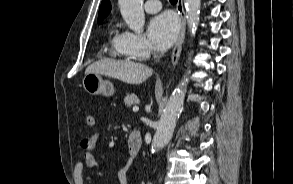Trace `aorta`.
Masks as SVG:
<instances>
[{
  "label": "aorta",
  "instance_id": "762f6f07",
  "mask_svg": "<svg viewBox=\"0 0 293 184\" xmlns=\"http://www.w3.org/2000/svg\"><path fill=\"white\" fill-rule=\"evenodd\" d=\"M142 2L143 0H118L123 19L130 29L136 33H140L145 24ZM200 6L201 0H185L187 23L191 35L195 34L199 23ZM187 81L188 78L185 75L167 102L156 126V133L151 144L152 153L167 145L173 135L176 121L183 109Z\"/></svg>",
  "mask_w": 293,
  "mask_h": 184
}]
</instances>
